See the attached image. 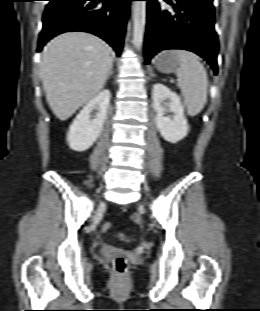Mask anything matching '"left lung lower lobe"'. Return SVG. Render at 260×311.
<instances>
[{
  "label": "left lung lower lobe",
  "mask_w": 260,
  "mask_h": 311,
  "mask_svg": "<svg viewBox=\"0 0 260 311\" xmlns=\"http://www.w3.org/2000/svg\"><path fill=\"white\" fill-rule=\"evenodd\" d=\"M146 63L165 49H183L203 57L218 73V38L214 31L212 0H164L172 9L160 7L158 0H146Z\"/></svg>",
  "instance_id": "left-lung-lower-lobe-1"
}]
</instances>
